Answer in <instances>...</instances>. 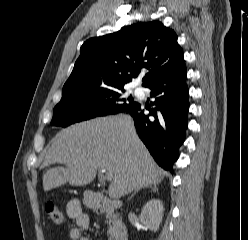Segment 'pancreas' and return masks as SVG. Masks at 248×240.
Segmentation results:
<instances>
[{
	"label": "pancreas",
	"mask_w": 248,
	"mask_h": 240,
	"mask_svg": "<svg viewBox=\"0 0 248 240\" xmlns=\"http://www.w3.org/2000/svg\"><path fill=\"white\" fill-rule=\"evenodd\" d=\"M106 218H107V222L109 223L107 235L109 236V240H112L117 235L118 225L120 224V220L117 219V215L115 214H107Z\"/></svg>",
	"instance_id": "cf45deb5"
}]
</instances>
